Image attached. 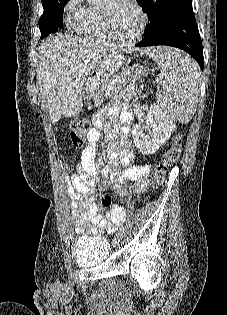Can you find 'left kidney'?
<instances>
[{
    "instance_id": "5707ae66",
    "label": "left kidney",
    "mask_w": 227,
    "mask_h": 315,
    "mask_svg": "<svg viewBox=\"0 0 227 315\" xmlns=\"http://www.w3.org/2000/svg\"><path fill=\"white\" fill-rule=\"evenodd\" d=\"M149 129V133L144 131ZM176 129L173 121L155 104L151 105L145 122L132 131L136 147L146 155L156 153Z\"/></svg>"
}]
</instances>
